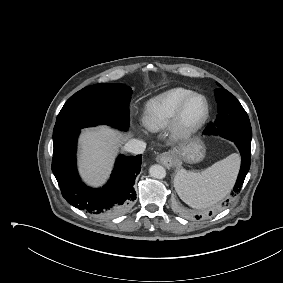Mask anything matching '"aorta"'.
<instances>
[{"instance_id":"1","label":"aorta","mask_w":283,"mask_h":283,"mask_svg":"<svg viewBox=\"0 0 283 283\" xmlns=\"http://www.w3.org/2000/svg\"><path fill=\"white\" fill-rule=\"evenodd\" d=\"M151 177L156 179H163L166 176V170L161 165H152L149 169Z\"/></svg>"}]
</instances>
